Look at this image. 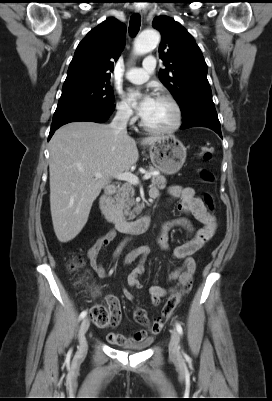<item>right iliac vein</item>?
I'll list each match as a JSON object with an SVG mask.
<instances>
[{
  "label": "right iliac vein",
  "instance_id": "right-iliac-vein-1",
  "mask_svg": "<svg viewBox=\"0 0 272 401\" xmlns=\"http://www.w3.org/2000/svg\"><path fill=\"white\" fill-rule=\"evenodd\" d=\"M89 326H90L89 318L83 319L79 330V349H78L79 355H83L87 351V341L85 334L88 331Z\"/></svg>",
  "mask_w": 272,
  "mask_h": 401
}]
</instances>
